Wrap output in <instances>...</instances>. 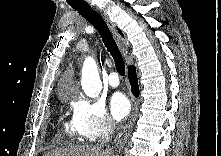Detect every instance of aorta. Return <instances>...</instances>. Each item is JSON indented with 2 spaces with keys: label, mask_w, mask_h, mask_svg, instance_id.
Listing matches in <instances>:
<instances>
[{
  "label": "aorta",
  "mask_w": 221,
  "mask_h": 156,
  "mask_svg": "<svg viewBox=\"0 0 221 156\" xmlns=\"http://www.w3.org/2000/svg\"><path fill=\"white\" fill-rule=\"evenodd\" d=\"M81 86L85 94L91 98H96L102 90V83L96 63L92 57H87L81 76Z\"/></svg>",
  "instance_id": "762f6f07"
}]
</instances>
